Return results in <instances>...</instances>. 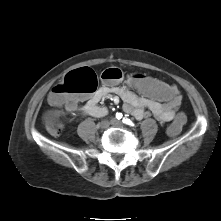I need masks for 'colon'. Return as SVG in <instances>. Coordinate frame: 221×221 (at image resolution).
Wrapping results in <instances>:
<instances>
[{"label": "colon", "mask_w": 221, "mask_h": 221, "mask_svg": "<svg viewBox=\"0 0 221 221\" xmlns=\"http://www.w3.org/2000/svg\"><path fill=\"white\" fill-rule=\"evenodd\" d=\"M101 78L108 82H117L122 78L119 69L110 68L101 74ZM125 88L131 89L138 95H145L152 101L161 104H170L176 98V89L170 83H164L155 75L144 72H136L130 69L126 72L122 81ZM98 77L96 73L83 67L68 73L62 82L57 84L49 95L50 104L54 107L65 105L67 107L80 95L94 93L97 90ZM188 125V115L180 110L171 119V125L166 128L169 138H176L180 130Z\"/></svg>", "instance_id": "5ec220e1"}]
</instances>
